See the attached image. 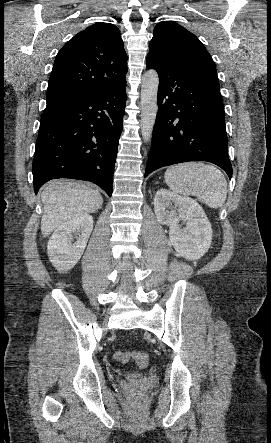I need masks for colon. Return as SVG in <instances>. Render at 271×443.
<instances>
[{
  "mask_svg": "<svg viewBox=\"0 0 271 443\" xmlns=\"http://www.w3.org/2000/svg\"><path fill=\"white\" fill-rule=\"evenodd\" d=\"M114 358L122 363H127L130 360H134L139 367H146L148 364V356L144 352H122L117 351ZM137 396H133V400H136Z\"/></svg>",
  "mask_w": 271,
  "mask_h": 443,
  "instance_id": "obj_1",
  "label": "colon"
}]
</instances>
